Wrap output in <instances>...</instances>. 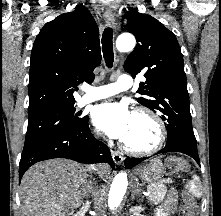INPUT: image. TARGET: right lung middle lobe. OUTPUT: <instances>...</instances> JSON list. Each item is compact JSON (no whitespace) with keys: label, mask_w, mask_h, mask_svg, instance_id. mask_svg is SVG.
<instances>
[{"label":"right lung middle lobe","mask_w":221,"mask_h":216,"mask_svg":"<svg viewBox=\"0 0 221 216\" xmlns=\"http://www.w3.org/2000/svg\"><path fill=\"white\" fill-rule=\"evenodd\" d=\"M83 118L75 114L74 104L43 110L29 115L24 149L44 139L79 125Z\"/></svg>","instance_id":"right-lung-middle-lobe-1"}]
</instances>
